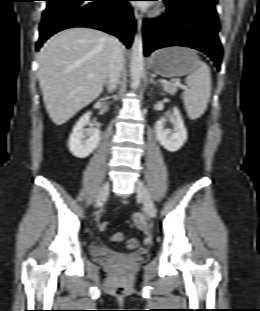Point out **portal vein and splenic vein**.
Segmentation results:
<instances>
[{"label": "portal vein and splenic vein", "mask_w": 260, "mask_h": 311, "mask_svg": "<svg viewBox=\"0 0 260 311\" xmlns=\"http://www.w3.org/2000/svg\"><path fill=\"white\" fill-rule=\"evenodd\" d=\"M159 82L160 83H162V84H171L170 82H168V81H166V80H159ZM172 84H174V85H177V86H179V87H181V88H185L183 85H181L180 84V82H178V81H176V82H174V83H172Z\"/></svg>", "instance_id": "portal-vein-and-splenic-vein-1"}]
</instances>
